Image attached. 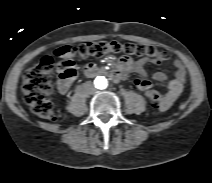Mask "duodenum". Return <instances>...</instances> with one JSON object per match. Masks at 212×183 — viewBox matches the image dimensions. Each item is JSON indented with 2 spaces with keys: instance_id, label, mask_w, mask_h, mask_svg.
Segmentation results:
<instances>
[{
  "instance_id": "410a0bca",
  "label": "duodenum",
  "mask_w": 212,
  "mask_h": 183,
  "mask_svg": "<svg viewBox=\"0 0 212 183\" xmlns=\"http://www.w3.org/2000/svg\"><path fill=\"white\" fill-rule=\"evenodd\" d=\"M86 77H95L98 75H105L112 81L118 82L121 80L122 75L118 70H108L103 67H98L96 65H89L84 68L83 71Z\"/></svg>"
}]
</instances>
